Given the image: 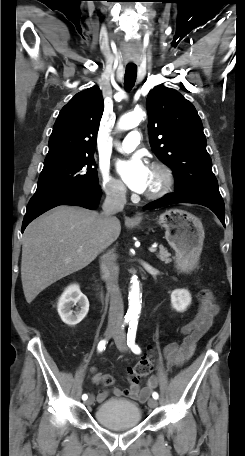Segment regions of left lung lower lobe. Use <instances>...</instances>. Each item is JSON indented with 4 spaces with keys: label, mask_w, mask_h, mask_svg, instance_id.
I'll return each mask as SVG.
<instances>
[{
    "label": "left lung lower lobe",
    "mask_w": 245,
    "mask_h": 456,
    "mask_svg": "<svg viewBox=\"0 0 245 456\" xmlns=\"http://www.w3.org/2000/svg\"><path fill=\"white\" fill-rule=\"evenodd\" d=\"M177 203H194L208 207L217 215L222 224L225 226V206L222 198L205 195L170 193L154 202L147 204L144 209L159 208Z\"/></svg>",
    "instance_id": "obj_1"
}]
</instances>
